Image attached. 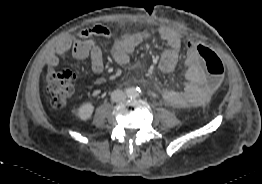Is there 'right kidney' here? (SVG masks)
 Instances as JSON below:
<instances>
[{"instance_id": "ca27d5eb", "label": "right kidney", "mask_w": 262, "mask_h": 184, "mask_svg": "<svg viewBox=\"0 0 262 184\" xmlns=\"http://www.w3.org/2000/svg\"><path fill=\"white\" fill-rule=\"evenodd\" d=\"M94 106L91 103H84L78 111V115L82 120H87L91 117Z\"/></svg>"}]
</instances>
